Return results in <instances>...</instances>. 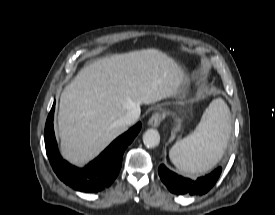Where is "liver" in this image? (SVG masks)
<instances>
[{
    "label": "liver",
    "instance_id": "liver-1",
    "mask_svg": "<svg viewBox=\"0 0 275 215\" xmlns=\"http://www.w3.org/2000/svg\"><path fill=\"white\" fill-rule=\"evenodd\" d=\"M186 82L183 69L157 49L114 54L79 71L61 94V153L81 166L127 130L119 120L134 106L175 96Z\"/></svg>",
    "mask_w": 275,
    "mask_h": 215
}]
</instances>
